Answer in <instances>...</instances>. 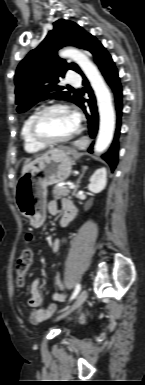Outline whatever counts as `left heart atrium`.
<instances>
[{
	"label": "left heart atrium",
	"mask_w": 145,
	"mask_h": 385,
	"mask_svg": "<svg viewBox=\"0 0 145 385\" xmlns=\"http://www.w3.org/2000/svg\"><path fill=\"white\" fill-rule=\"evenodd\" d=\"M74 118H75L76 122L78 123V122H79V118H78V116H77V115H75V116H74Z\"/></svg>",
	"instance_id": "obj_1"
}]
</instances>
